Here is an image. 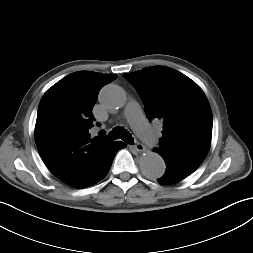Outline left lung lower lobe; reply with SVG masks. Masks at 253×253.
<instances>
[{"mask_svg":"<svg viewBox=\"0 0 253 253\" xmlns=\"http://www.w3.org/2000/svg\"><path fill=\"white\" fill-rule=\"evenodd\" d=\"M156 152L163 157L166 163L165 174L157 180L160 184L176 183L193 173L202 163V161L189 157L159 151Z\"/></svg>","mask_w":253,"mask_h":253,"instance_id":"left-lung-lower-lobe-1","label":"left lung lower lobe"}]
</instances>
